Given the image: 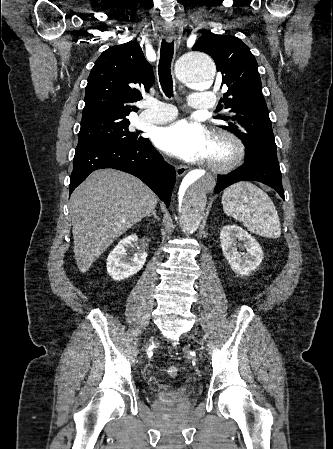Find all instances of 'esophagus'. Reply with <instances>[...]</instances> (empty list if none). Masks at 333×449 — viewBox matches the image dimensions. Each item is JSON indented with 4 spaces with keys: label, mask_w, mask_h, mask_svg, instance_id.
<instances>
[{
    "label": "esophagus",
    "mask_w": 333,
    "mask_h": 449,
    "mask_svg": "<svg viewBox=\"0 0 333 449\" xmlns=\"http://www.w3.org/2000/svg\"><path fill=\"white\" fill-rule=\"evenodd\" d=\"M165 38L167 39L168 42H171L173 39H175V33L173 30H166L165 31ZM187 172V167L186 166H178L176 169V175L178 177H182L186 174Z\"/></svg>",
    "instance_id": "obj_1"
}]
</instances>
